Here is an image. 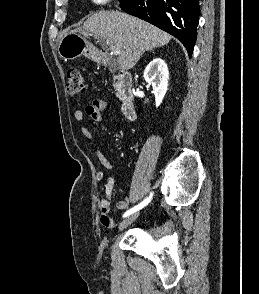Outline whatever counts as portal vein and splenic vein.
<instances>
[{
    "instance_id": "portal-vein-and-splenic-vein-1",
    "label": "portal vein and splenic vein",
    "mask_w": 259,
    "mask_h": 294,
    "mask_svg": "<svg viewBox=\"0 0 259 294\" xmlns=\"http://www.w3.org/2000/svg\"><path fill=\"white\" fill-rule=\"evenodd\" d=\"M111 51L114 55H119L120 54V50L114 46H111Z\"/></svg>"
}]
</instances>
